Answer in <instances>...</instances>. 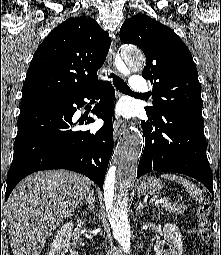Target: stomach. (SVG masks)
I'll list each match as a JSON object with an SVG mask.
<instances>
[{
	"instance_id": "0dacf381",
	"label": "stomach",
	"mask_w": 221,
	"mask_h": 255,
	"mask_svg": "<svg viewBox=\"0 0 221 255\" xmlns=\"http://www.w3.org/2000/svg\"><path fill=\"white\" fill-rule=\"evenodd\" d=\"M162 189V182L155 177H145L137 184V193L139 195L156 194Z\"/></svg>"
}]
</instances>
